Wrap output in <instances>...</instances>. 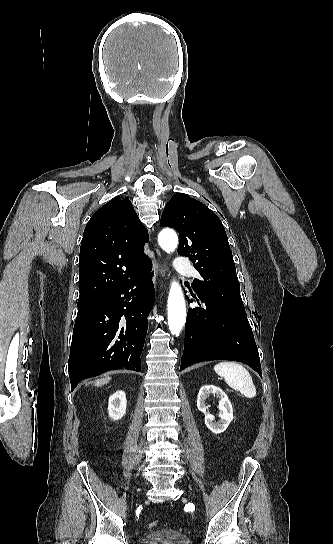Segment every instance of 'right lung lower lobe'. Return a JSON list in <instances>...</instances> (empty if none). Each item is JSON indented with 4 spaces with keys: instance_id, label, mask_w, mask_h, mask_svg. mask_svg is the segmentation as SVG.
<instances>
[{
    "instance_id": "obj_1",
    "label": "right lung lower lobe",
    "mask_w": 333,
    "mask_h": 544,
    "mask_svg": "<svg viewBox=\"0 0 333 544\" xmlns=\"http://www.w3.org/2000/svg\"><path fill=\"white\" fill-rule=\"evenodd\" d=\"M154 304L151 266L93 310L77 315L69 356L71 391L112 369L141 371L140 356Z\"/></svg>"
}]
</instances>
